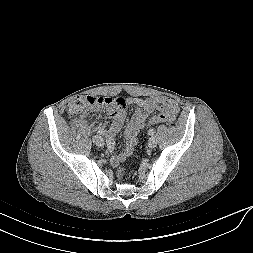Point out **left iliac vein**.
Wrapping results in <instances>:
<instances>
[{
	"instance_id": "obj_1",
	"label": "left iliac vein",
	"mask_w": 253,
	"mask_h": 253,
	"mask_svg": "<svg viewBox=\"0 0 253 253\" xmlns=\"http://www.w3.org/2000/svg\"><path fill=\"white\" fill-rule=\"evenodd\" d=\"M157 145V140L154 136H151L148 140V146L154 148Z\"/></svg>"
}]
</instances>
